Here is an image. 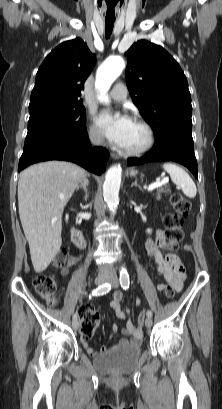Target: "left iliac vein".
<instances>
[{
    "mask_svg": "<svg viewBox=\"0 0 222 409\" xmlns=\"http://www.w3.org/2000/svg\"><path fill=\"white\" fill-rule=\"evenodd\" d=\"M108 281H109L111 284L115 285V286L118 284V279H117V277L114 276V275H111V276L109 277V280H108ZM152 324H153V322H152L151 317H148V318L145 320V326H146V328H151Z\"/></svg>",
    "mask_w": 222,
    "mask_h": 409,
    "instance_id": "4c4485c4",
    "label": "left iliac vein"
}]
</instances>
